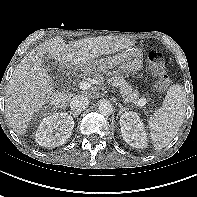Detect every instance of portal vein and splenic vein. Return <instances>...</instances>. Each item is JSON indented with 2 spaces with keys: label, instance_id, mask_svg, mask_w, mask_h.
<instances>
[{
  "label": "portal vein and splenic vein",
  "instance_id": "1",
  "mask_svg": "<svg viewBox=\"0 0 197 197\" xmlns=\"http://www.w3.org/2000/svg\"><path fill=\"white\" fill-rule=\"evenodd\" d=\"M79 88L81 90H88L91 88V83L87 82V81H83L79 84ZM147 103V99L146 98H141L138 101L135 102L136 106H144Z\"/></svg>",
  "mask_w": 197,
  "mask_h": 197
}]
</instances>
